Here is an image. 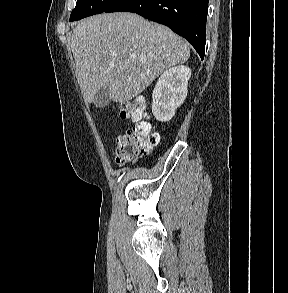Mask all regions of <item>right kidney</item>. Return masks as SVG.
Listing matches in <instances>:
<instances>
[{
    "mask_svg": "<svg viewBox=\"0 0 288 293\" xmlns=\"http://www.w3.org/2000/svg\"><path fill=\"white\" fill-rule=\"evenodd\" d=\"M191 70L177 66L166 70L158 79L152 94V112L159 121H169L187 96Z\"/></svg>",
    "mask_w": 288,
    "mask_h": 293,
    "instance_id": "1",
    "label": "right kidney"
}]
</instances>
